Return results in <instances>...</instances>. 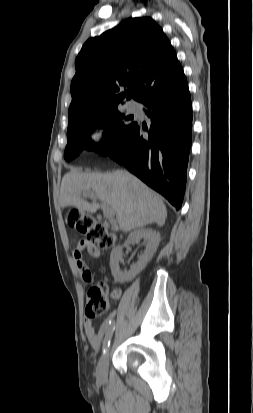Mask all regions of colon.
Here are the masks:
<instances>
[{"mask_svg": "<svg viewBox=\"0 0 253 413\" xmlns=\"http://www.w3.org/2000/svg\"><path fill=\"white\" fill-rule=\"evenodd\" d=\"M69 225L86 236V241L98 248L111 249L116 242V236L106 226L96 221L92 216L71 209L67 213ZM119 296L118 290H110L106 283L90 286L87 293L86 315L96 318L103 315L110 306V299Z\"/></svg>", "mask_w": 253, "mask_h": 413, "instance_id": "colon-1", "label": "colon"}]
</instances>
